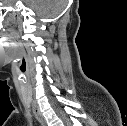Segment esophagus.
<instances>
[{
  "instance_id": "34e87169",
  "label": "esophagus",
  "mask_w": 127,
  "mask_h": 126,
  "mask_svg": "<svg viewBox=\"0 0 127 126\" xmlns=\"http://www.w3.org/2000/svg\"><path fill=\"white\" fill-rule=\"evenodd\" d=\"M32 108H33V112L37 118V120L39 121V123L42 125V126H46V120L43 116V114L40 112L38 106L36 105L35 102L32 103Z\"/></svg>"
}]
</instances>
